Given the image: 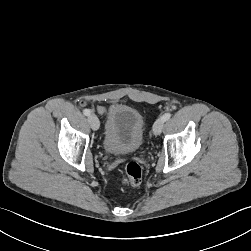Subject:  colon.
<instances>
[{
  "mask_svg": "<svg viewBox=\"0 0 251 251\" xmlns=\"http://www.w3.org/2000/svg\"><path fill=\"white\" fill-rule=\"evenodd\" d=\"M95 108L96 116L101 117L104 115V117L107 118V122H110L111 116H109V113H106L105 106L96 104ZM142 175V167L137 162H129L124 170L122 184L131 186L139 185L142 181Z\"/></svg>",
  "mask_w": 251,
  "mask_h": 251,
  "instance_id": "obj_1",
  "label": "colon"
}]
</instances>
